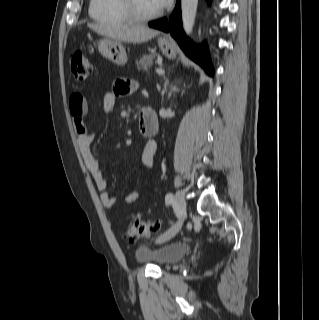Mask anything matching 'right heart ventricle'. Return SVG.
<instances>
[{
	"instance_id": "obj_1",
	"label": "right heart ventricle",
	"mask_w": 319,
	"mask_h": 320,
	"mask_svg": "<svg viewBox=\"0 0 319 320\" xmlns=\"http://www.w3.org/2000/svg\"><path fill=\"white\" fill-rule=\"evenodd\" d=\"M90 17L103 24H127L130 17L122 8L120 0H90Z\"/></svg>"
}]
</instances>
